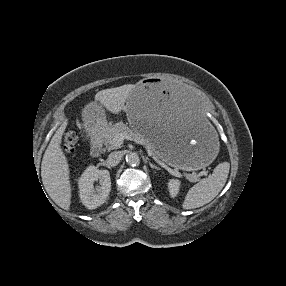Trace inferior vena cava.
I'll return each mask as SVG.
<instances>
[{"instance_id":"1","label":"inferior vena cava","mask_w":286,"mask_h":286,"mask_svg":"<svg viewBox=\"0 0 286 286\" xmlns=\"http://www.w3.org/2000/svg\"><path fill=\"white\" fill-rule=\"evenodd\" d=\"M122 159V153L120 151L112 152L107 158V163L110 166H116Z\"/></svg>"}]
</instances>
